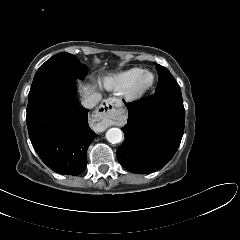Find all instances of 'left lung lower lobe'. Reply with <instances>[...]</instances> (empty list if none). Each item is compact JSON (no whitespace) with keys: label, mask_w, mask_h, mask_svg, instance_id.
Masks as SVG:
<instances>
[{"label":"left lung lower lobe","mask_w":240,"mask_h":240,"mask_svg":"<svg viewBox=\"0 0 240 240\" xmlns=\"http://www.w3.org/2000/svg\"><path fill=\"white\" fill-rule=\"evenodd\" d=\"M126 105L125 140L117 149L120 164L138 174L161 169L173 158L184 133L181 92H159Z\"/></svg>","instance_id":"1"}]
</instances>
